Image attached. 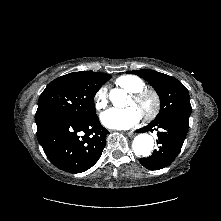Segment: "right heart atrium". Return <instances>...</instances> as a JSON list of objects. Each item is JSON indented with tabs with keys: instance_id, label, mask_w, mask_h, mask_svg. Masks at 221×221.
Instances as JSON below:
<instances>
[{
	"instance_id": "d8ad5b80",
	"label": "right heart atrium",
	"mask_w": 221,
	"mask_h": 221,
	"mask_svg": "<svg viewBox=\"0 0 221 221\" xmlns=\"http://www.w3.org/2000/svg\"><path fill=\"white\" fill-rule=\"evenodd\" d=\"M94 108L97 111L103 110L108 104L107 90L105 87L98 89L93 99Z\"/></svg>"
}]
</instances>
